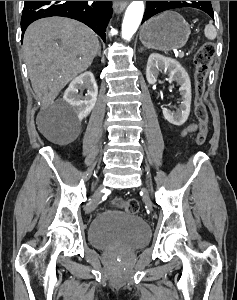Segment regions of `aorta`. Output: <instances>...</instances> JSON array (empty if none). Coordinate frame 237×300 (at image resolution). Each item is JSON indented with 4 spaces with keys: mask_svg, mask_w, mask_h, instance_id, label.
I'll list each match as a JSON object with an SVG mask.
<instances>
[{
    "mask_svg": "<svg viewBox=\"0 0 237 300\" xmlns=\"http://www.w3.org/2000/svg\"><path fill=\"white\" fill-rule=\"evenodd\" d=\"M144 15L143 1H133L129 5L122 23V39L130 41L136 33Z\"/></svg>",
    "mask_w": 237,
    "mask_h": 300,
    "instance_id": "762f6f07",
    "label": "aorta"
}]
</instances>
